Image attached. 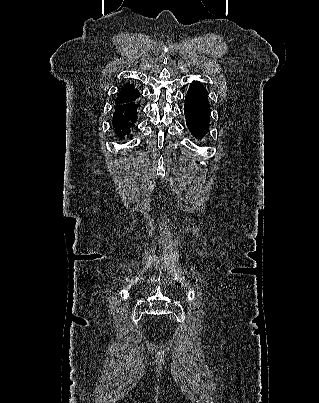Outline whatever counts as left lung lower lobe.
I'll list each match as a JSON object with an SVG mask.
<instances>
[{"label":"left lung lower lobe","mask_w":319,"mask_h":403,"mask_svg":"<svg viewBox=\"0 0 319 403\" xmlns=\"http://www.w3.org/2000/svg\"><path fill=\"white\" fill-rule=\"evenodd\" d=\"M184 114L186 124L192 135L203 138L209 130L210 105L205 87L193 81L185 97Z\"/></svg>","instance_id":"obj_1"}]
</instances>
